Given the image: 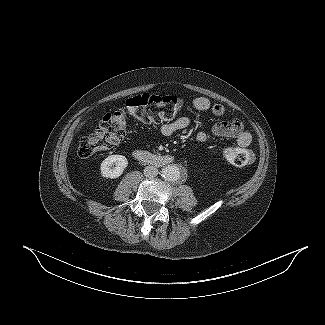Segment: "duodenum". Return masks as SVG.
<instances>
[{
    "label": "duodenum",
    "mask_w": 325,
    "mask_h": 325,
    "mask_svg": "<svg viewBox=\"0 0 325 325\" xmlns=\"http://www.w3.org/2000/svg\"><path fill=\"white\" fill-rule=\"evenodd\" d=\"M133 155L136 159L153 166H166L174 161L171 155L156 154L139 148L133 151Z\"/></svg>",
    "instance_id": "obj_1"
}]
</instances>
